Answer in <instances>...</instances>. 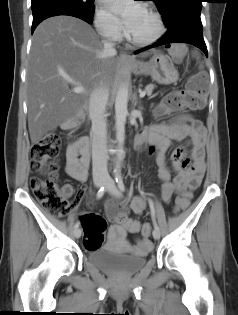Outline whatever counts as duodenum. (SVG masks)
<instances>
[{
  "label": "duodenum",
  "instance_id": "obj_1",
  "mask_svg": "<svg viewBox=\"0 0 238 315\" xmlns=\"http://www.w3.org/2000/svg\"><path fill=\"white\" fill-rule=\"evenodd\" d=\"M89 143H90V142H89ZM135 148L138 149V146H137L136 142H135Z\"/></svg>",
  "mask_w": 238,
  "mask_h": 315
}]
</instances>
